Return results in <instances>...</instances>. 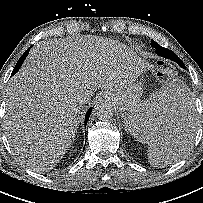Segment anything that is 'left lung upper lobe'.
I'll return each instance as SVG.
<instances>
[{
    "label": "left lung upper lobe",
    "instance_id": "5c2ea615",
    "mask_svg": "<svg viewBox=\"0 0 203 203\" xmlns=\"http://www.w3.org/2000/svg\"><path fill=\"white\" fill-rule=\"evenodd\" d=\"M151 45L155 48V49H158L157 47H159L160 45H158L155 41H153L152 40V42H151ZM178 58V57H177ZM178 60H180L179 58H178ZM180 62H181V60H180ZM180 65V64H179ZM181 66V65H180Z\"/></svg>",
    "mask_w": 203,
    "mask_h": 203
}]
</instances>
